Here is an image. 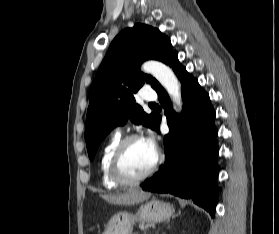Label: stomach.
Segmentation results:
<instances>
[{"instance_id": "1", "label": "stomach", "mask_w": 279, "mask_h": 234, "mask_svg": "<svg viewBox=\"0 0 279 234\" xmlns=\"http://www.w3.org/2000/svg\"><path fill=\"white\" fill-rule=\"evenodd\" d=\"M174 213L171 205L152 200L142 205L136 214L119 212L113 215L103 234H132L136 222L159 223L168 220Z\"/></svg>"}]
</instances>
